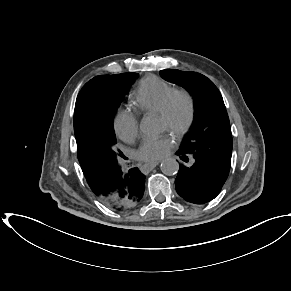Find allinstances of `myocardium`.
Instances as JSON below:
<instances>
[{"label": "myocardium", "mask_w": 291, "mask_h": 291, "mask_svg": "<svg viewBox=\"0 0 291 291\" xmlns=\"http://www.w3.org/2000/svg\"><path fill=\"white\" fill-rule=\"evenodd\" d=\"M185 114L184 120L177 121L180 111ZM169 130L177 138L186 135L193 127L196 119V106L193 95L186 89H174L168 96L164 107L158 112Z\"/></svg>", "instance_id": "obj_1"}]
</instances>
